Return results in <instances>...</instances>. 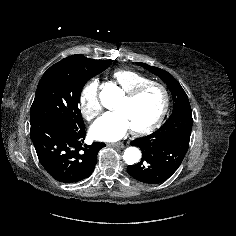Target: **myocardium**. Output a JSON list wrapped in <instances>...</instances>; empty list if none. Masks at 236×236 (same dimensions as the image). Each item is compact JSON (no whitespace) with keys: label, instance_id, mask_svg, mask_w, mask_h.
Instances as JSON below:
<instances>
[{"label":"myocardium","instance_id":"1","mask_svg":"<svg viewBox=\"0 0 236 236\" xmlns=\"http://www.w3.org/2000/svg\"><path fill=\"white\" fill-rule=\"evenodd\" d=\"M151 87H157L162 91L163 97H164L163 106L159 115L152 123L142 128H132V132L136 135L148 134L156 130L163 122L169 109V105H170L169 91L165 85L156 81H149L141 85H138L129 91H126L124 94V98L128 101H132L136 99L138 96H140L144 91H146L147 89Z\"/></svg>","mask_w":236,"mask_h":236}]
</instances>
